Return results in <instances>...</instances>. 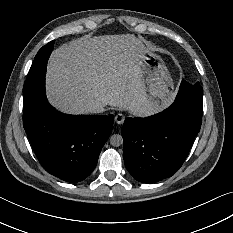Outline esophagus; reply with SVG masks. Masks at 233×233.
I'll list each match as a JSON object with an SVG mask.
<instances>
[{"instance_id":"1","label":"esophagus","mask_w":233,"mask_h":233,"mask_svg":"<svg viewBox=\"0 0 233 233\" xmlns=\"http://www.w3.org/2000/svg\"><path fill=\"white\" fill-rule=\"evenodd\" d=\"M124 120H125V116L121 113L115 116V121L117 124H123Z\"/></svg>"}]
</instances>
